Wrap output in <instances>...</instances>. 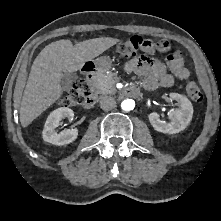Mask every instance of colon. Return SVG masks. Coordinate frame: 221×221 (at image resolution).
Listing matches in <instances>:
<instances>
[{"mask_svg":"<svg viewBox=\"0 0 221 221\" xmlns=\"http://www.w3.org/2000/svg\"><path fill=\"white\" fill-rule=\"evenodd\" d=\"M152 44L153 41L151 40L143 39L140 36H133L122 41L118 45V52L125 58H133L139 50ZM154 45L161 47L163 44L161 41H155ZM90 91L91 82L84 78L80 79L74 84L73 89L62 98L61 103L64 106L82 105L84 104L86 97L90 94ZM186 92L194 101H201L203 98L200 86L196 82H188L186 85Z\"/></svg>","mask_w":221,"mask_h":221,"instance_id":"colon-1","label":"colon"}]
</instances>
